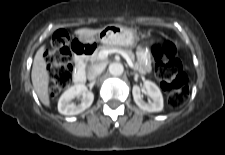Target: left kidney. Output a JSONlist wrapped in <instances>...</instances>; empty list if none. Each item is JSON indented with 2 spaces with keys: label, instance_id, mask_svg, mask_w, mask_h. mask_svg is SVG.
I'll return each mask as SVG.
<instances>
[{
  "label": "left kidney",
  "instance_id": "1",
  "mask_svg": "<svg viewBox=\"0 0 225 155\" xmlns=\"http://www.w3.org/2000/svg\"><path fill=\"white\" fill-rule=\"evenodd\" d=\"M141 92H146L147 95L152 99V102L149 101L148 103H146L145 101H143ZM132 94L135 103L140 109L148 112L162 111L163 97L160 89L155 83L146 80L141 88L137 85H134Z\"/></svg>",
  "mask_w": 225,
  "mask_h": 155
}]
</instances>
